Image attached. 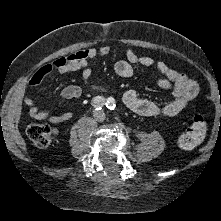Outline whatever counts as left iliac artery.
Returning a JSON list of instances; mask_svg holds the SVG:
<instances>
[{"mask_svg":"<svg viewBox=\"0 0 221 221\" xmlns=\"http://www.w3.org/2000/svg\"><path fill=\"white\" fill-rule=\"evenodd\" d=\"M107 108L109 109V110H114V108H115V100H114V98H112V97H109L108 99H107Z\"/></svg>","mask_w":221,"mask_h":221,"instance_id":"left-iliac-artery-1","label":"left iliac artery"}]
</instances>
